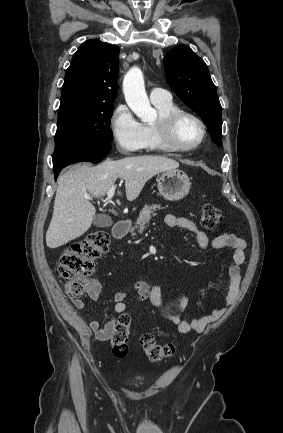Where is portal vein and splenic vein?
Returning a JSON list of instances; mask_svg holds the SVG:
<instances>
[{"label": "portal vein and splenic vein", "instance_id": "obj_1", "mask_svg": "<svg viewBox=\"0 0 283 433\" xmlns=\"http://www.w3.org/2000/svg\"><path fill=\"white\" fill-rule=\"evenodd\" d=\"M115 188H116V184H113V186H111V188H109L108 192H107V200L108 202H112L111 198L115 192ZM85 198H88V200H91L92 196H85Z\"/></svg>", "mask_w": 283, "mask_h": 433}]
</instances>
